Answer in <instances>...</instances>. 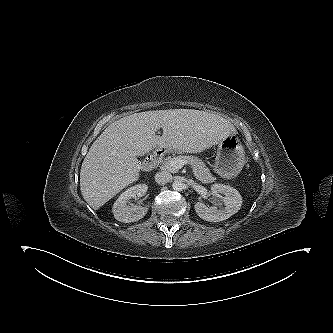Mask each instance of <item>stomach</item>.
<instances>
[{
  "instance_id": "0dacf381",
  "label": "stomach",
  "mask_w": 333,
  "mask_h": 333,
  "mask_svg": "<svg viewBox=\"0 0 333 333\" xmlns=\"http://www.w3.org/2000/svg\"><path fill=\"white\" fill-rule=\"evenodd\" d=\"M245 164V152L239 139L230 135L218 144L214 171L224 179L236 178Z\"/></svg>"
}]
</instances>
